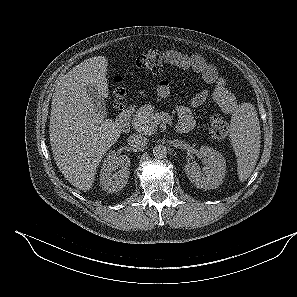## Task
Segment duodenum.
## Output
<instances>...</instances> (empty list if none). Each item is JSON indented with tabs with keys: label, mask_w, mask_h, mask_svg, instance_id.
Wrapping results in <instances>:
<instances>
[{
	"label": "duodenum",
	"mask_w": 297,
	"mask_h": 297,
	"mask_svg": "<svg viewBox=\"0 0 297 297\" xmlns=\"http://www.w3.org/2000/svg\"><path fill=\"white\" fill-rule=\"evenodd\" d=\"M133 113L132 107H126L122 109L118 118H117V126L123 132L127 133L130 129V119ZM180 132L186 133L190 131L188 126L179 127Z\"/></svg>",
	"instance_id": "obj_1"
}]
</instances>
